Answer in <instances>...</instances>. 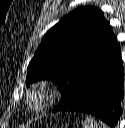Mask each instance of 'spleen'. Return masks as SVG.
Returning <instances> with one entry per match:
<instances>
[{"instance_id": "3e777b00", "label": "spleen", "mask_w": 125, "mask_h": 128, "mask_svg": "<svg viewBox=\"0 0 125 128\" xmlns=\"http://www.w3.org/2000/svg\"><path fill=\"white\" fill-rule=\"evenodd\" d=\"M82 128H107V126L102 122H98L95 118L87 116Z\"/></svg>"}]
</instances>
